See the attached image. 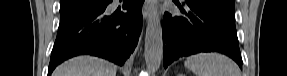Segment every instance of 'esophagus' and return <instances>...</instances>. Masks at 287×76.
I'll return each instance as SVG.
<instances>
[{"label":"esophagus","instance_id":"esophagus-1","mask_svg":"<svg viewBox=\"0 0 287 76\" xmlns=\"http://www.w3.org/2000/svg\"><path fill=\"white\" fill-rule=\"evenodd\" d=\"M151 14H152L151 0H145L144 6H143L144 19L149 18Z\"/></svg>","mask_w":287,"mask_h":76}]
</instances>
